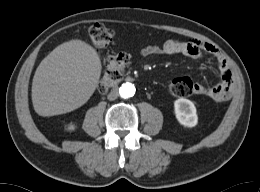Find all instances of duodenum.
Segmentation results:
<instances>
[{
  "mask_svg": "<svg viewBox=\"0 0 260 192\" xmlns=\"http://www.w3.org/2000/svg\"><path fill=\"white\" fill-rule=\"evenodd\" d=\"M126 80L130 81V80H131V78H130V77H127V78H126Z\"/></svg>",
  "mask_w": 260,
  "mask_h": 192,
  "instance_id": "duodenum-1",
  "label": "duodenum"
}]
</instances>
